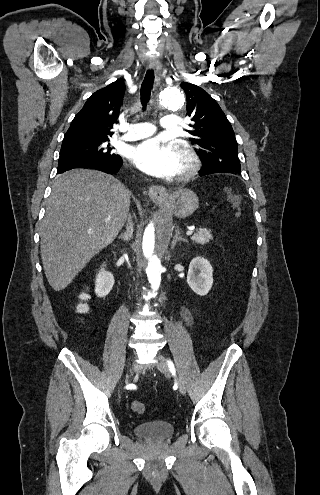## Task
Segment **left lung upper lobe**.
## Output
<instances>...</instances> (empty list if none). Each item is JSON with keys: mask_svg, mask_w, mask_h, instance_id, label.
<instances>
[{"mask_svg": "<svg viewBox=\"0 0 320 495\" xmlns=\"http://www.w3.org/2000/svg\"><path fill=\"white\" fill-rule=\"evenodd\" d=\"M181 88L186 93L187 115L193 121L190 141L197 146L203 167L241 172L235 134L218 103L194 84L183 82Z\"/></svg>", "mask_w": 320, "mask_h": 495, "instance_id": "5c2ea615", "label": "left lung upper lobe"}]
</instances>
